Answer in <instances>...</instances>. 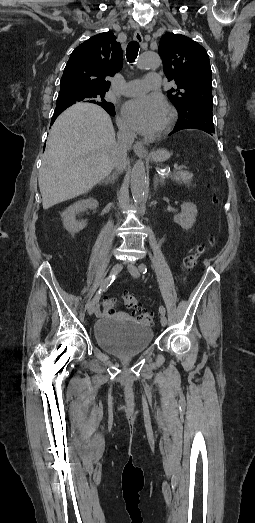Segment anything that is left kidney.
<instances>
[{
    "instance_id": "1",
    "label": "left kidney",
    "mask_w": 255,
    "mask_h": 523,
    "mask_svg": "<svg viewBox=\"0 0 255 523\" xmlns=\"http://www.w3.org/2000/svg\"><path fill=\"white\" fill-rule=\"evenodd\" d=\"M197 216V208L195 204H191V202H184L181 206V212L180 214H176L174 216V222L176 224H179L181 228H184V230H189V228H192Z\"/></svg>"
}]
</instances>
